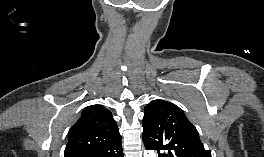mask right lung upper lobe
I'll list each match as a JSON object with an SVG mask.
<instances>
[{
	"mask_svg": "<svg viewBox=\"0 0 264 157\" xmlns=\"http://www.w3.org/2000/svg\"><path fill=\"white\" fill-rule=\"evenodd\" d=\"M64 157H100L121 144V136L110 110L91 105L68 133Z\"/></svg>",
	"mask_w": 264,
	"mask_h": 157,
	"instance_id": "right-lung-upper-lobe-1",
	"label": "right lung upper lobe"
}]
</instances>
